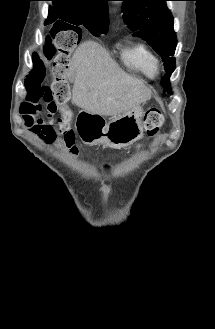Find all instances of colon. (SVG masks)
<instances>
[{
    "mask_svg": "<svg viewBox=\"0 0 215 329\" xmlns=\"http://www.w3.org/2000/svg\"><path fill=\"white\" fill-rule=\"evenodd\" d=\"M53 24L49 25V31L41 32V37L49 38V42L39 48V54L31 56L34 73L52 74L28 75L29 81H25L28 94L21 106V114L37 117L45 113L52 116L59 112L54 129L67 144L72 145L75 136L71 124L72 113L66 105L69 93L66 74L71 53L74 49H81L83 43L82 25H67V19H54ZM163 122L162 112L158 108H151L144 115V130L148 136H155Z\"/></svg>",
    "mask_w": 215,
    "mask_h": 329,
    "instance_id": "obj_1",
    "label": "colon"
}]
</instances>
